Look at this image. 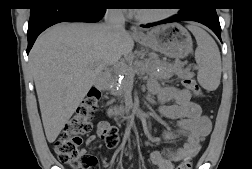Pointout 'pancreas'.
I'll return each instance as SVG.
<instances>
[{"label":"pancreas","mask_w":252,"mask_h":169,"mask_svg":"<svg viewBox=\"0 0 252 169\" xmlns=\"http://www.w3.org/2000/svg\"><path fill=\"white\" fill-rule=\"evenodd\" d=\"M183 66L184 63L182 62L176 61L175 63L171 64L160 60L156 54H150L149 59L139 61L138 63L129 67L133 68L135 73H147L149 75H154L159 79L168 80L175 73H178ZM157 69H159V71H157ZM117 73L119 72L117 71ZM117 73H113L108 77V79L105 81L106 86H109L114 82L113 79Z\"/></svg>","instance_id":"cf45deb5"}]
</instances>
